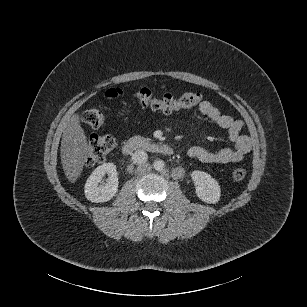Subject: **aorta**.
Here are the masks:
<instances>
[{
    "label": "aorta",
    "mask_w": 307,
    "mask_h": 307,
    "mask_svg": "<svg viewBox=\"0 0 307 307\" xmlns=\"http://www.w3.org/2000/svg\"><path fill=\"white\" fill-rule=\"evenodd\" d=\"M153 167L157 171H162L165 167V163L163 160H157V161H154Z\"/></svg>",
    "instance_id": "obj_1"
}]
</instances>
